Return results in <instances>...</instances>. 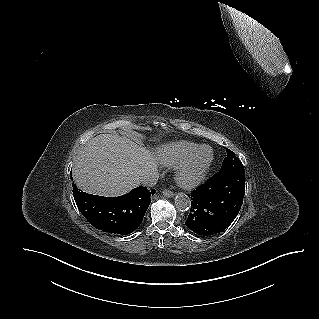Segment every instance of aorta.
<instances>
[{"instance_id": "762f6f07", "label": "aorta", "mask_w": 319, "mask_h": 319, "mask_svg": "<svg viewBox=\"0 0 319 319\" xmlns=\"http://www.w3.org/2000/svg\"><path fill=\"white\" fill-rule=\"evenodd\" d=\"M175 205L179 211H187L191 207V200L185 193H178L175 197Z\"/></svg>"}]
</instances>
